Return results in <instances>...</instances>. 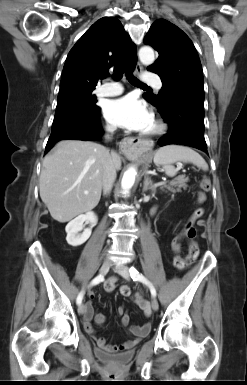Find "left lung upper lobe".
Wrapping results in <instances>:
<instances>
[{
  "instance_id": "1",
  "label": "left lung upper lobe",
  "mask_w": 247,
  "mask_h": 385,
  "mask_svg": "<svg viewBox=\"0 0 247 385\" xmlns=\"http://www.w3.org/2000/svg\"><path fill=\"white\" fill-rule=\"evenodd\" d=\"M144 42L159 53L148 70L160 76L163 86L159 95L145 93L143 97L159 110L168 106L173 97L203 105L201 62L189 37L174 24L159 19L150 27Z\"/></svg>"
}]
</instances>
